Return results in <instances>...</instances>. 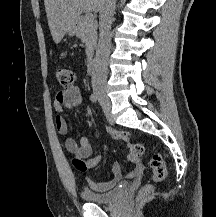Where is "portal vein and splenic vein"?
Here are the masks:
<instances>
[{"mask_svg": "<svg viewBox=\"0 0 216 217\" xmlns=\"http://www.w3.org/2000/svg\"><path fill=\"white\" fill-rule=\"evenodd\" d=\"M85 17H86V19L89 20V21L94 20V17H93V15H92L91 13H87Z\"/></svg>", "mask_w": 216, "mask_h": 217, "instance_id": "18ae733b", "label": "portal vein and splenic vein"}]
</instances>
